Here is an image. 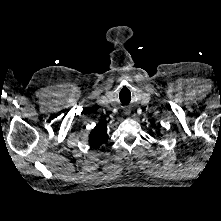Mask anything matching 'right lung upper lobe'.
<instances>
[{
	"instance_id": "right-lung-upper-lobe-1",
	"label": "right lung upper lobe",
	"mask_w": 221,
	"mask_h": 221,
	"mask_svg": "<svg viewBox=\"0 0 221 221\" xmlns=\"http://www.w3.org/2000/svg\"><path fill=\"white\" fill-rule=\"evenodd\" d=\"M107 139V126L104 122H99L89 135L90 146L99 148Z\"/></svg>"
}]
</instances>
